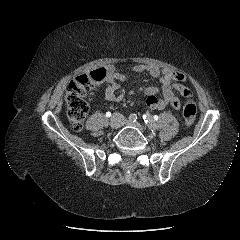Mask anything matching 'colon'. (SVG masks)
I'll return each mask as SVG.
<instances>
[{
	"instance_id": "5ec220e1",
	"label": "colon",
	"mask_w": 240,
	"mask_h": 240,
	"mask_svg": "<svg viewBox=\"0 0 240 240\" xmlns=\"http://www.w3.org/2000/svg\"><path fill=\"white\" fill-rule=\"evenodd\" d=\"M105 77L106 70L100 68L78 75L68 84L66 92L67 116L75 131L82 129L83 121L89 111V104L86 100L88 90L93 85L105 80ZM182 115L186 125H191L195 121L196 104L192 95L186 97Z\"/></svg>"
}]
</instances>
